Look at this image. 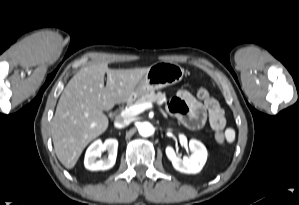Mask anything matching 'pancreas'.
<instances>
[{
    "instance_id": "pancreas-1",
    "label": "pancreas",
    "mask_w": 299,
    "mask_h": 205,
    "mask_svg": "<svg viewBox=\"0 0 299 205\" xmlns=\"http://www.w3.org/2000/svg\"><path fill=\"white\" fill-rule=\"evenodd\" d=\"M166 101V95L165 93L161 92H150L147 94L142 95L140 98L136 100L135 103H129L128 107H131L135 104H142V103H147V102H156L159 105H162Z\"/></svg>"
}]
</instances>
